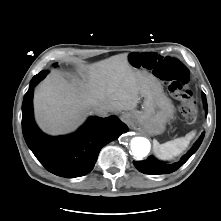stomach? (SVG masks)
<instances>
[{"label": "stomach", "mask_w": 221, "mask_h": 221, "mask_svg": "<svg viewBox=\"0 0 221 221\" xmlns=\"http://www.w3.org/2000/svg\"><path fill=\"white\" fill-rule=\"evenodd\" d=\"M133 53L129 54L128 61L131 63ZM136 69L137 66L133 65ZM146 83L141 91L144 97L142 110L131 112L133 122L150 135L161 134L165 130L166 123L173 116L174 106L167 98L159 80L151 75H145Z\"/></svg>", "instance_id": "0dacf381"}]
</instances>
